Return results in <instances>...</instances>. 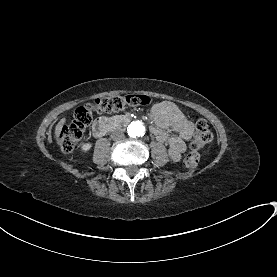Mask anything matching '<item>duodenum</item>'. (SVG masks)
Here are the masks:
<instances>
[{
  "label": "duodenum",
  "mask_w": 277,
  "mask_h": 277,
  "mask_svg": "<svg viewBox=\"0 0 277 277\" xmlns=\"http://www.w3.org/2000/svg\"><path fill=\"white\" fill-rule=\"evenodd\" d=\"M128 116H122L117 118H100L93 124L92 132L95 136L101 137L108 131L120 128L130 122Z\"/></svg>",
  "instance_id": "1"
}]
</instances>
